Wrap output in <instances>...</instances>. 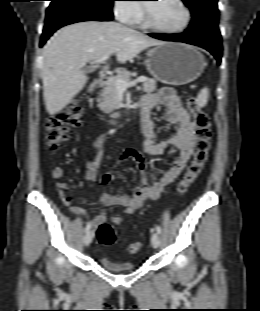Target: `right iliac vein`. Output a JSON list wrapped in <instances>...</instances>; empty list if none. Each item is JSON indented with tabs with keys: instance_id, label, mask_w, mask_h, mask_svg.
Segmentation results:
<instances>
[{
	"instance_id": "obj_1",
	"label": "right iliac vein",
	"mask_w": 260,
	"mask_h": 311,
	"mask_svg": "<svg viewBox=\"0 0 260 311\" xmlns=\"http://www.w3.org/2000/svg\"><path fill=\"white\" fill-rule=\"evenodd\" d=\"M91 242H92V233L88 231L84 236V245L89 246Z\"/></svg>"
}]
</instances>
